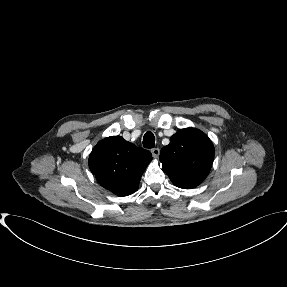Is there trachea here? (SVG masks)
Segmentation results:
<instances>
[{
  "mask_svg": "<svg viewBox=\"0 0 287 287\" xmlns=\"http://www.w3.org/2000/svg\"><path fill=\"white\" fill-rule=\"evenodd\" d=\"M143 146L149 149L155 146V137L152 132L145 133L143 137Z\"/></svg>",
  "mask_w": 287,
  "mask_h": 287,
  "instance_id": "3493384b",
  "label": "trachea"
}]
</instances>
